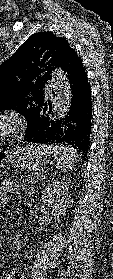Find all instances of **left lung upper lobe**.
<instances>
[{
  "instance_id": "5c2ea615",
  "label": "left lung upper lobe",
  "mask_w": 113,
  "mask_h": 279,
  "mask_svg": "<svg viewBox=\"0 0 113 279\" xmlns=\"http://www.w3.org/2000/svg\"><path fill=\"white\" fill-rule=\"evenodd\" d=\"M72 51L66 39L52 32L32 34L0 65V111L23 115L29 131L44 102L43 87L52 78V69L62 67Z\"/></svg>"
}]
</instances>
